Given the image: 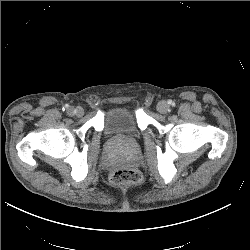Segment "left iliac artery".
Returning a JSON list of instances; mask_svg holds the SVG:
<instances>
[{
  "mask_svg": "<svg viewBox=\"0 0 250 250\" xmlns=\"http://www.w3.org/2000/svg\"><path fill=\"white\" fill-rule=\"evenodd\" d=\"M170 105H173V102L170 100L169 102H168Z\"/></svg>",
  "mask_w": 250,
  "mask_h": 250,
  "instance_id": "left-iliac-artery-1",
  "label": "left iliac artery"
}]
</instances>
